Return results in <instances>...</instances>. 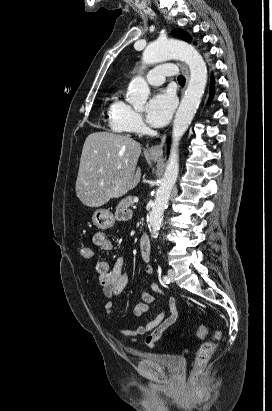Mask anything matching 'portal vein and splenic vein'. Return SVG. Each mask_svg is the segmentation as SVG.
Listing matches in <instances>:
<instances>
[{"label": "portal vein and splenic vein", "mask_w": 272, "mask_h": 411, "mask_svg": "<svg viewBox=\"0 0 272 411\" xmlns=\"http://www.w3.org/2000/svg\"><path fill=\"white\" fill-rule=\"evenodd\" d=\"M138 200H139V199H138L137 197H135V198L133 199V202H134V203H137Z\"/></svg>", "instance_id": "1"}]
</instances>
